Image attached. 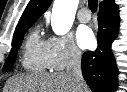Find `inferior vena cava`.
Masks as SVG:
<instances>
[{"mask_svg": "<svg viewBox=\"0 0 127 92\" xmlns=\"http://www.w3.org/2000/svg\"><path fill=\"white\" fill-rule=\"evenodd\" d=\"M66 74L76 85V91H81L80 85L84 82L81 71V52L76 48L70 51Z\"/></svg>", "mask_w": 127, "mask_h": 92, "instance_id": "obj_1", "label": "inferior vena cava"}]
</instances>
